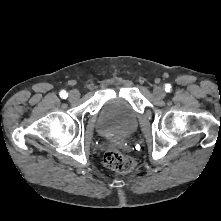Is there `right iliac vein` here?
Segmentation results:
<instances>
[{
	"mask_svg": "<svg viewBox=\"0 0 221 221\" xmlns=\"http://www.w3.org/2000/svg\"><path fill=\"white\" fill-rule=\"evenodd\" d=\"M80 97V93L77 90H71L69 92V100L76 101Z\"/></svg>",
	"mask_w": 221,
	"mask_h": 221,
	"instance_id": "obj_1",
	"label": "right iliac vein"
}]
</instances>
